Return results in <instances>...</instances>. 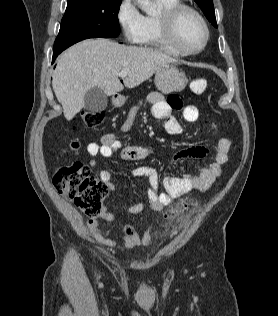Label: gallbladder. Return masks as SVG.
I'll use <instances>...</instances> for the list:
<instances>
[{"mask_svg": "<svg viewBox=\"0 0 278 316\" xmlns=\"http://www.w3.org/2000/svg\"><path fill=\"white\" fill-rule=\"evenodd\" d=\"M107 106V95L99 88L94 87L84 96V109L88 112H100Z\"/></svg>", "mask_w": 278, "mask_h": 316, "instance_id": "gallbladder-1", "label": "gallbladder"}]
</instances>
